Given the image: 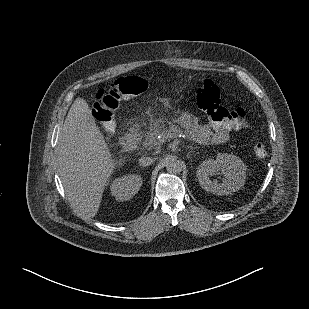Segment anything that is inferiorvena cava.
I'll list each match as a JSON object with an SVG mask.
<instances>
[{
  "label": "inferior vena cava",
  "instance_id": "602c4592",
  "mask_svg": "<svg viewBox=\"0 0 309 309\" xmlns=\"http://www.w3.org/2000/svg\"><path fill=\"white\" fill-rule=\"evenodd\" d=\"M154 161H155V158L143 156L139 159L138 162L140 166L146 167V166L151 165Z\"/></svg>",
  "mask_w": 309,
  "mask_h": 309
}]
</instances>
